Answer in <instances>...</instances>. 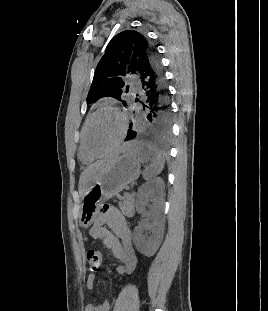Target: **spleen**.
<instances>
[{"instance_id":"spleen-1","label":"spleen","mask_w":268,"mask_h":311,"mask_svg":"<svg viewBox=\"0 0 268 311\" xmlns=\"http://www.w3.org/2000/svg\"><path fill=\"white\" fill-rule=\"evenodd\" d=\"M142 142L141 140H129L128 146L129 147H141ZM142 163L150 161L151 164L147 167L144 171L143 177L145 180H151L155 176L161 173L164 168V156L162 153L156 149L155 147L148 145L147 146V154L144 158L140 159Z\"/></svg>"}]
</instances>
